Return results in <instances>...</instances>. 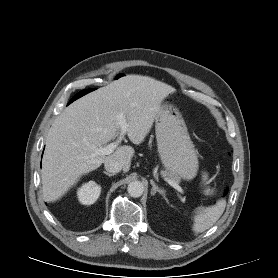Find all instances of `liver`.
Returning <instances> with one entry per match:
<instances>
[{
    "instance_id": "liver-1",
    "label": "liver",
    "mask_w": 278,
    "mask_h": 278,
    "mask_svg": "<svg viewBox=\"0 0 278 278\" xmlns=\"http://www.w3.org/2000/svg\"><path fill=\"white\" fill-rule=\"evenodd\" d=\"M174 92L173 87L153 78L126 75L66 107L46 138L41 171L45 201L59 200L81 176L107 160L119 162L123 171L128 172L135 153L131 146L117 147L107 156H94V149L117 136L119 114L126 119L130 141L142 143L162 101Z\"/></svg>"
}]
</instances>
